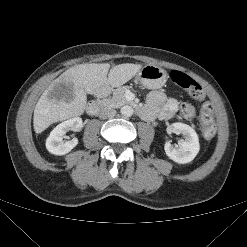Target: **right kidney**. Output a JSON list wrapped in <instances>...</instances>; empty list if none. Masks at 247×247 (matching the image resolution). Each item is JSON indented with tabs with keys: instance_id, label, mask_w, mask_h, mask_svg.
I'll list each match as a JSON object with an SVG mask.
<instances>
[{
	"instance_id": "1",
	"label": "right kidney",
	"mask_w": 247,
	"mask_h": 247,
	"mask_svg": "<svg viewBox=\"0 0 247 247\" xmlns=\"http://www.w3.org/2000/svg\"><path fill=\"white\" fill-rule=\"evenodd\" d=\"M83 126L80 117H74L57 125L46 140L47 150L55 155H65L69 153L77 144V138L63 141L68 131L78 132Z\"/></svg>"
}]
</instances>
